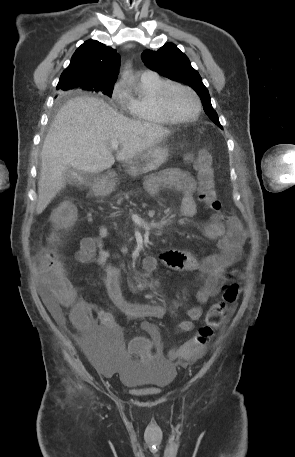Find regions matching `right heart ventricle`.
I'll use <instances>...</instances> for the list:
<instances>
[{
	"mask_svg": "<svg viewBox=\"0 0 295 457\" xmlns=\"http://www.w3.org/2000/svg\"><path fill=\"white\" fill-rule=\"evenodd\" d=\"M166 80L156 74L141 77L137 92L128 95L127 110L136 121L150 124H166L170 122L158 109L156 94Z\"/></svg>",
	"mask_w": 295,
	"mask_h": 457,
	"instance_id": "1",
	"label": "right heart ventricle"
}]
</instances>
